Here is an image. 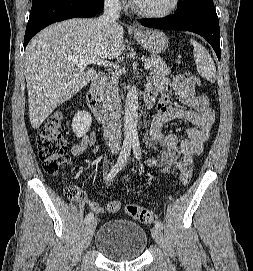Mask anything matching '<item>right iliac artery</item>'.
Returning a JSON list of instances; mask_svg holds the SVG:
<instances>
[{
	"label": "right iliac artery",
	"mask_w": 253,
	"mask_h": 271,
	"mask_svg": "<svg viewBox=\"0 0 253 271\" xmlns=\"http://www.w3.org/2000/svg\"><path fill=\"white\" fill-rule=\"evenodd\" d=\"M130 152H131V142L124 141L121 152L119 154V157L115 165L112 167V169L110 170V172L105 178L106 183H109L117 175V173L126 165ZM92 219H93V213L90 212L85 217V223L87 224Z\"/></svg>",
	"instance_id": "obj_1"
}]
</instances>
